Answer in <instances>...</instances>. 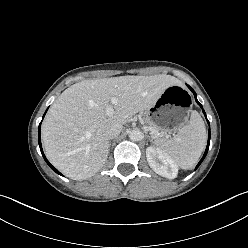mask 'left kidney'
<instances>
[{"label": "left kidney", "instance_id": "5707ae66", "mask_svg": "<svg viewBox=\"0 0 248 248\" xmlns=\"http://www.w3.org/2000/svg\"><path fill=\"white\" fill-rule=\"evenodd\" d=\"M146 157L149 166L159 175L168 179L176 178L178 167L173 159L158 147H148Z\"/></svg>", "mask_w": 248, "mask_h": 248}]
</instances>
